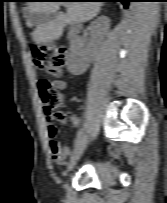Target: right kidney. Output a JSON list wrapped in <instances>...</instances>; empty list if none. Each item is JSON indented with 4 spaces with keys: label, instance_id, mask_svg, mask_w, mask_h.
I'll return each instance as SVG.
<instances>
[{
    "label": "right kidney",
    "instance_id": "1",
    "mask_svg": "<svg viewBox=\"0 0 167 203\" xmlns=\"http://www.w3.org/2000/svg\"><path fill=\"white\" fill-rule=\"evenodd\" d=\"M109 26V18L101 16L91 24V30L98 36H101L107 33ZM93 56V49H83V38L77 37L70 46V54L67 63L69 72L73 75L83 74L89 67Z\"/></svg>",
    "mask_w": 167,
    "mask_h": 203
}]
</instances>
